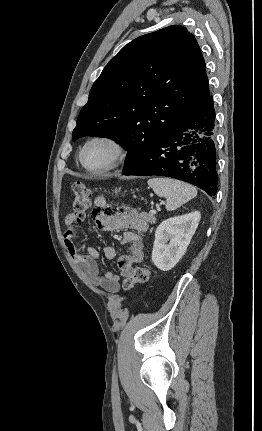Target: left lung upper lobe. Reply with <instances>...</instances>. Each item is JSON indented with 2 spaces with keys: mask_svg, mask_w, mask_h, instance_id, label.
Masks as SVG:
<instances>
[{
  "mask_svg": "<svg viewBox=\"0 0 262 431\" xmlns=\"http://www.w3.org/2000/svg\"><path fill=\"white\" fill-rule=\"evenodd\" d=\"M194 36L170 26L140 36L112 58L93 84L72 139L108 137L128 150L125 169L209 96Z\"/></svg>",
  "mask_w": 262,
  "mask_h": 431,
  "instance_id": "5c2ea615",
  "label": "left lung upper lobe"
}]
</instances>
